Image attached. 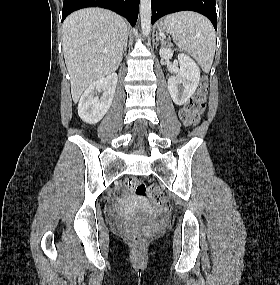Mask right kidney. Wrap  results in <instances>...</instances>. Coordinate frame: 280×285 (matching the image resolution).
Listing matches in <instances>:
<instances>
[{"label":"right kidney","instance_id":"1","mask_svg":"<svg viewBox=\"0 0 280 285\" xmlns=\"http://www.w3.org/2000/svg\"><path fill=\"white\" fill-rule=\"evenodd\" d=\"M118 76L111 73L93 82L83 93L78 104V115L88 124L98 123L109 110L117 85ZM103 90L101 99L95 96Z\"/></svg>","mask_w":280,"mask_h":285}]
</instances>
